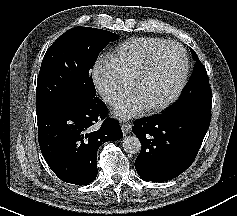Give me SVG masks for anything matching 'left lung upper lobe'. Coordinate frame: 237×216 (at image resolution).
I'll list each match as a JSON object with an SVG mask.
<instances>
[{
	"mask_svg": "<svg viewBox=\"0 0 237 216\" xmlns=\"http://www.w3.org/2000/svg\"><path fill=\"white\" fill-rule=\"evenodd\" d=\"M191 52L196 60L193 73L179 100L163 114H180L191 117L196 121L210 122L212 92L208 75L195 51L191 49Z\"/></svg>",
	"mask_w": 237,
	"mask_h": 216,
	"instance_id": "1",
	"label": "left lung upper lobe"
}]
</instances>
